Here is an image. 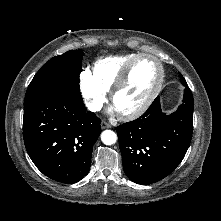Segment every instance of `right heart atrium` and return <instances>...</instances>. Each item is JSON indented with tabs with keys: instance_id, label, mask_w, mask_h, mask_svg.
<instances>
[{
	"instance_id": "1",
	"label": "right heart atrium",
	"mask_w": 221,
	"mask_h": 221,
	"mask_svg": "<svg viewBox=\"0 0 221 221\" xmlns=\"http://www.w3.org/2000/svg\"><path fill=\"white\" fill-rule=\"evenodd\" d=\"M79 85L86 107L93 112L100 110L107 100V92L95 81L90 71L80 74Z\"/></svg>"
}]
</instances>
